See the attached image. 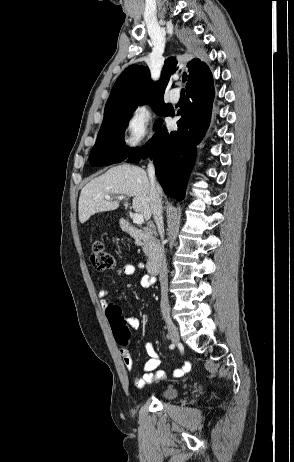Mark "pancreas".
I'll return each instance as SVG.
<instances>
[{
    "instance_id": "1",
    "label": "pancreas",
    "mask_w": 294,
    "mask_h": 462,
    "mask_svg": "<svg viewBox=\"0 0 294 462\" xmlns=\"http://www.w3.org/2000/svg\"><path fill=\"white\" fill-rule=\"evenodd\" d=\"M138 244L140 246H142L143 252L145 253V255H148L149 254V246L147 244H144V243H141V242H139Z\"/></svg>"
}]
</instances>
